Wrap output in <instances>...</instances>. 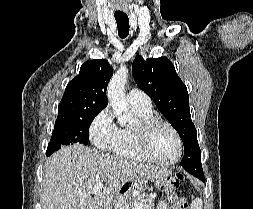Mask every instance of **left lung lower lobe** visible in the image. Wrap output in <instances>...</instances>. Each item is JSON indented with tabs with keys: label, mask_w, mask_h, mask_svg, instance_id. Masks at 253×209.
Wrapping results in <instances>:
<instances>
[{
	"label": "left lung lower lobe",
	"mask_w": 253,
	"mask_h": 209,
	"mask_svg": "<svg viewBox=\"0 0 253 209\" xmlns=\"http://www.w3.org/2000/svg\"><path fill=\"white\" fill-rule=\"evenodd\" d=\"M190 173L192 175H194L195 177H197V178L201 179L202 181H204V173H203L202 166L198 167L194 171H191Z\"/></svg>",
	"instance_id": "1"
}]
</instances>
